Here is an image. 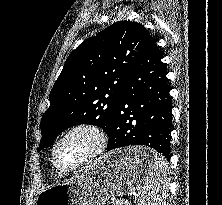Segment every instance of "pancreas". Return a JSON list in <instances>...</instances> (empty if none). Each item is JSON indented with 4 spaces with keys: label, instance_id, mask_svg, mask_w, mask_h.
I'll return each mask as SVG.
<instances>
[{
    "label": "pancreas",
    "instance_id": "cf45deb5",
    "mask_svg": "<svg viewBox=\"0 0 222 205\" xmlns=\"http://www.w3.org/2000/svg\"><path fill=\"white\" fill-rule=\"evenodd\" d=\"M109 205H127V203L123 200H113L108 203Z\"/></svg>",
    "mask_w": 222,
    "mask_h": 205
}]
</instances>
